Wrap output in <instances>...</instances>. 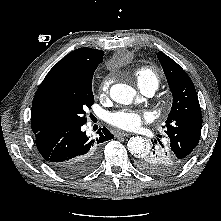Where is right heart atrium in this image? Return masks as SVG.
I'll use <instances>...</instances> for the list:
<instances>
[{
    "label": "right heart atrium",
    "mask_w": 221,
    "mask_h": 221,
    "mask_svg": "<svg viewBox=\"0 0 221 221\" xmlns=\"http://www.w3.org/2000/svg\"><path fill=\"white\" fill-rule=\"evenodd\" d=\"M110 84H111V79L109 77H105L99 85V93L101 95L106 94L109 90Z\"/></svg>",
    "instance_id": "right-heart-atrium-1"
}]
</instances>
